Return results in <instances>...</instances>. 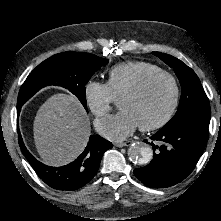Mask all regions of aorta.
Instances as JSON below:
<instances>
[{
	"mask_svg": "<svg viewBox=\"0 0 221 221\" xmlns=\"http://www.w3.org/2000/svg\"><path fill=\"white\" fill-rule=\"evenodd\" d=\"M127 154L130 161L137 165H146L153 158L152 148L148 144L141 142L131 144Z\"/></svg>",
	"mask_w": 221,
	"mask_h": 221,
	"instance_id": "762f6f07",
	"label": "aorta"
}]
</instances>
